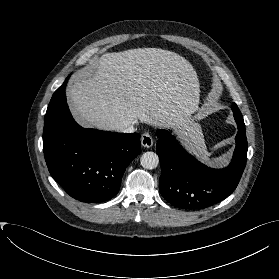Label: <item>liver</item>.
<instances>
[{
	"mask_svg": "<svg viewBox=\"0 0 279 279\" xmlns=\"http://www.w3.org/2000/svg\"><path fill=\"white\" fill-rule=\"evenodd\" d=\"M74 78L67 100L81 125L120 131L139 120L172 128L189 150L205 152L191 118L199 104L197 73L179 54L159 48L105 53Z\"/></svg>",
	"mask_w": 279,
	"mask_h": 279,
	"instance_id": "obj_1",
	"label": "liver"
}]
</instances>
